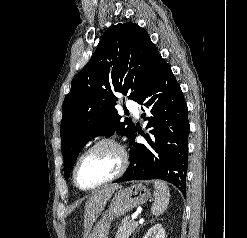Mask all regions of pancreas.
Returning a JSON list of instances; mask_svg holds the SVG:
<instances>
[{
	"instance_id": "obj_1",
	"label": "pancreas",
	"mask_w": 247,
	"mask_h": 238,
	"mask_svg": "<svg viewBox=\"0 0 247 238\" xmlns=\"http://www.w3.org/2000/svg\"><path fill=\"white\" fill-rule=\"evenodd\" d=\"M138 228V223L132 220H122L115 238H129L131 234Z\"/></svg>"
}]
</instances>
